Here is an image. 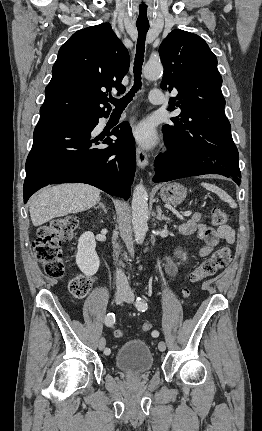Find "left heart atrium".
I'll use <instances>...</instances> for the list:
<instances>
[{
	"label": "left heart atrium",
	"instance_id": "39dd6f15",
	"mask_svg": "<svg viewBox=\"0 0 262 431\" xmlns=\"http://www.w3.org/2000/svg\"><path fill=\"white\" fill-rule=\"evenodd\" d=\"M135 139L145 148H150L157 142V134L153 125L148 121H142L133 130Z\"/></svg>",
	"mask_w": 262,
	"mask_h": 431
}]
</instances>
